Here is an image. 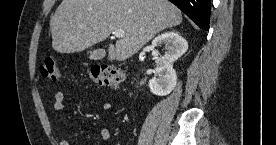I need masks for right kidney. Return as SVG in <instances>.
I'll return each instance as SVG.
<instances>
[{
  "label": "right kidney",
  "mask_w": 276,
  "mask_h": 145,
  "mask_svg": "<svg viewBox=\"0 0 276 145\" xmlns=\"http://www.w3.org/2000/svg\"><path fill=\"white\" fill-rule=\"evenodd\" d=\"M165 45L166 53L159 57L155 47ZM152 55L157 63V77L149 81V88L154 95L166 96L175 88L177 83L173 63L188 49L187 41L176 31H168L158 35L152 41Z\"/></svg>",
  "instance_id": "1"
}]
</instances>
